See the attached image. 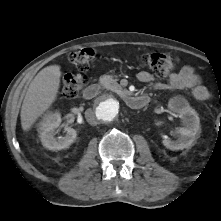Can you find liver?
Returning <instances> with one entry per match:
<instances>
[{"instance_id": "liver-1", "label": "liver", "mask_w": 221, "mask_h": 221, "mask_svg": "<svg viewBox=\"0 0 221 221\" xmlns=\"http://www.w3.org/2000/svg\"><path fill=\"white\" fill-rule=\"evenodd\" d=\"M60 77V66L50 65L39 71L30 83L20 112L21 126L24 131H28L55 101Z\"/></svg>"}]
</instances>
